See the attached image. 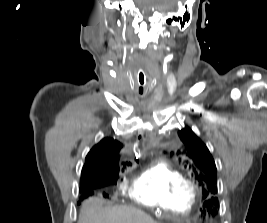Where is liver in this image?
I'll return each instance as SVG.
<instances>
[{
    "label": "liver",
    "mask_w": 267,
    "mask_h": 223,
    "mask_svg": "<svg viewBox=\"0 0 267 223\" xmlns=\"http://www.w3.org/2000/svg\"><path fill=\"white\" fill-rule=\"evenodd\" d=\"M78 223H157L151 216L132 206L105 207L98 199L87 200Z\"/></svg>",
    "instance_id": "liver-1"
}]
</instances>
